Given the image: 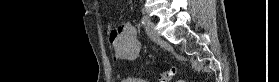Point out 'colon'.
Instances as JSON below:
<instances>
[{"mask_svg": "<svg viewBox=\"0 0 279 82\" xmlns=\"http://www.w3.org/2000/svg\"><path fill=\"white\" fill-rule=\"evenodd\" d=\"M175 68L174 67H170L168 69H166L161 77L160 82H169L173 75L175 74Z\"/></svg>", "mask_w": 279, "mask_h": 82, "instance_id": "colon-1", "label": "colon"}]
</instances>
